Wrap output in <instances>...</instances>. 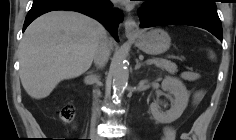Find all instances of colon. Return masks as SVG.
Masks as SVG:
<instances>
[{"label":"colon","mask_w":236,"mask_h":140,"mask_svg":"<svg viewBox=\"0 0 236 140\" xmlns=\"http://www.w3.org/2000/svg\"><path fill=\"white\" fill-rule=\"evenodd\" d=\"M58 114L60 118L67 123H71L74 119V110L70 104L63 105L59 110Z\"/></svg>","instance_id":"5ec220e1"}]
</instances>
